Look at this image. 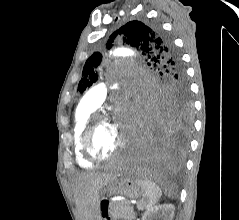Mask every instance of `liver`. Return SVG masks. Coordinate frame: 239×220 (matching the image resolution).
Here are the masks:
<instances>
[{"label":"liver","instance_id":"obj_1","mask_svg":"<svg viewBox=\"0 0 239 220\" xmlns=\"http://www.w3.org/2000/svg\"><path fill=\"white\" fill-rule=\"evenodd\" d=\"M116 170L119 171L117 168ZM116 177V172L86 173L75 179L74 199L81 220H95L98 217L99 191Z\"/></svg>","mask_w":239,"mask_h":220}]
</instances>
